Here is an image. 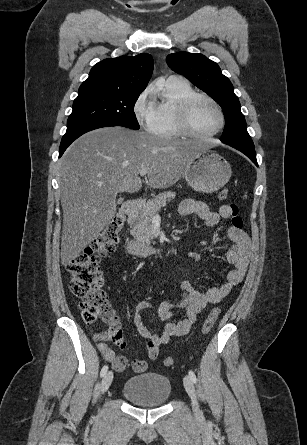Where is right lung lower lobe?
<instances>
[{
	"label": "right lung lower lobe",
	"mask_w": 307,
	"mask_h": 445,
	"mask_svg": "<svg viewBox=\"0 0 307 445\" xmlns=\"http://www.w3.org/2000/svg\"><path fill=\"white\" fill-rule=\"evenodd\" d=\"M115 126L110 124H86L73 129H68L65 135L62 138L60 148H59V157L62 156L66 148L78 137L83 135L84 133L102 127Z\"/></svg>",
	"instance_id": "right-lung-lower-lobe-1"
}]
</instances>
